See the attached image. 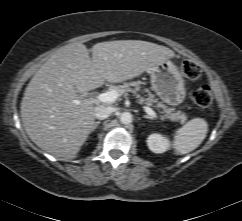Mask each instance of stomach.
<instances>
[{"label": "stomach", "instance_id": "stomach-1", "mask_svg": "<svg viewBox=\"0 0 242 221\" xmlns=\"http://www.w3.org/2000/svg\"><path fill=\"white\" fill-rule=\"evenodd\" d=\"M151 88L168 105H180L186 96L183 76L170 60L158 63L149 70Z\"/></svg>", "mask_w": 242, "mask_h": 221}]
</instances>
